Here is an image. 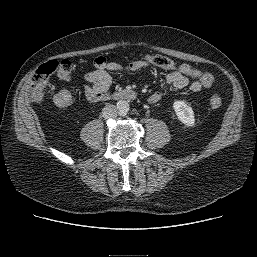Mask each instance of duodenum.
Segmentation results:
<instances>
[{"label": "duodenum", "instance_id": "1", "mask_svg": "<svg viewBox=\"0 0 257 257\" xmlns=\"http://www.w3.org/2000/svg\"><path fill=\"white\" fill-rule=\"evenodd\" d=\"M135 92L132 90H122L115 92L112 94L111 98L115 100H126V99H133L135 97Z\"/></svg>", "mask_w": 257, "mask_h": 257}]
</instances>
